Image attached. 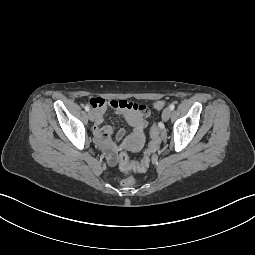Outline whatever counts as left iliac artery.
<instances>
[{"mask_svg":"<svg viewBox=\"0 0 255 255\" xmlns=\"http://www.w3.org/2000/svg\"><path fill=\"white\" fill-rule=\"evenodd\" d=\"M169 108H170L171 111H173L174 108H175V105H174V104H171V105L169 106Z\"/></svg>","mask_w":255,"mask_h":255,"instance_id":"1","label":"left iliac artery"}]
</instances>
